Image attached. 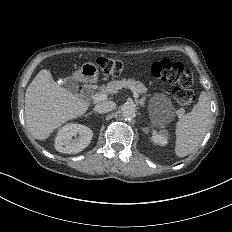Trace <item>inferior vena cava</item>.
Listing matches in <instances>:
<instances>
[{
    "label": "inferior vena cava",
    "instance_id": "602c4592",
    "mask_svg": "<svg viewBox=\"0 0 232 232\" xmlns=\"http://www.w3.org/2000/svg\"><path fill=\"white\" fill-rule=\"evenodd\" d=\"M115 107H116V104L113 101L102 102L95 106V111L98 113H107V112L114 110Z\"/></svg>",
    "mask_w": 232,
    "mask_h": 232
}]
</instances>
